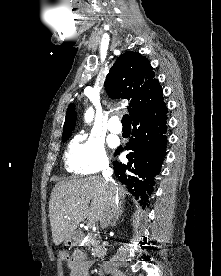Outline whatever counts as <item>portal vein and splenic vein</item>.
Listing matches in <instances>:
<instances>
[{
    "mask_svg": "<svg viewBox=\"0 0 221 276\" xmlns=\"http://www.w3.org/2000/svg\"><path fill=\"white\" fill-rule=\"evenodd\" d=\"M78 204H79V203H78ZM92 224H93V223H90V222H89V223L87 224V226H88V227H91Z\"/></svg>",
    "mask_w": 221,
    "mask_h": 276,
    "instance_id": "1",
    "label": "portal vein and splenic vein"
}]
</instances>
